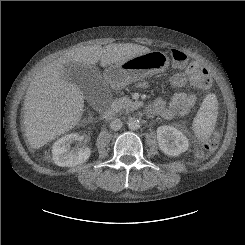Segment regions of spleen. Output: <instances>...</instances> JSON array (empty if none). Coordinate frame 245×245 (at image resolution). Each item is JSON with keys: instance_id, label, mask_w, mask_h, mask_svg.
Wrapping results in <instances>:
<instances>
[{"instance_id": "3e777b00", "label": "spleen", "mask_w": 245, "mask_h": 245, "mask_svg": "<svg viewBox=\"0 0 245 245\" xmlns=\"http://www.w3.org/2000/svg\"><path fill=\"white\" fill-rule=\"evenodd\" d=\"M218 115V100L214 94L204 98L201 107L194 118L193 130L200 140L207 139L215 128Z\"/></svg>"}]
</instances>
